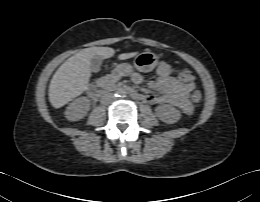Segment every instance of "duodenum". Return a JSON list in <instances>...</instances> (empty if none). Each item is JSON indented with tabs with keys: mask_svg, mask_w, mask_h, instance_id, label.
Here are the masks:
<instances>
[{
	"mask_svg": "<svg viewBox=\"0 0 260 202\" xmlns=\"http://www.w3.org/2000/svg\"><path fill=\"white\" fill-rule=\"evenodd\" d=\"M100 85L103 87H110V86H113V83L102 80V81H100ZM113 89H115L116 91H120V92H126L127 94H130L133 98H136V99L142 98L141 94L137 93L134 89H132L130 87L118 86V87H113ZM87 94L90 98H96V97H98L100 92L95 87H89L87 89Z\"/></svg>",
	"mask_w": 260,
	"mask_h": 202,
	"instance_id": "duodenum-1",
	"label": "duodenum"
}]
</instances>
